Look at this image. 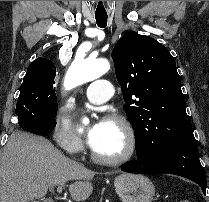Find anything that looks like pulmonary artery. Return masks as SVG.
I'll list each match as a JSON object with an SVG mask.
<instances>
[{
  "label": "pulmonary artery",
  "instance_id": "obj_1",
  "mask_svg": "<svg viewBox=\"0 0 209 202\" xmlns=\"http://www.w3.org/2000/svg\"><path fill=\"white\" fill-rule=\"evenodd\" d=\"M114 84L107 80H94L86 87V96L92 104H103L112 94Z\"/></svg>",
  "mask_w": 209,
  "mask_h": 202
}]
</instances>
